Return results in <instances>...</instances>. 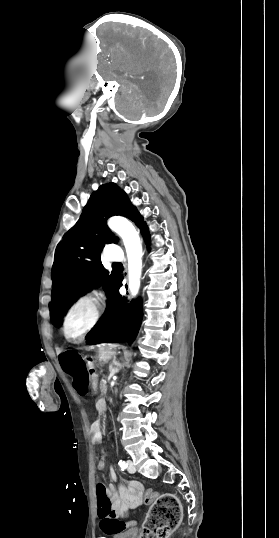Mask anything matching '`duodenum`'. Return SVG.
<instances>
[{
  "label": "duodenum",
  "mask_w": 279,
  "mask_h": 538,
  "mask_svg": "<svg viewBox=\"0 0 279 538\" xmlns=\"http://www.w3.org/2000/svg\"><path fill=\"white\" fill-rule=\"evenodd\" d=\"M90 370H92V372L90 373V376L92 377L91 389L93 391H96L98 389L99 382H98V378L96 377L97 373L95 372V365H90ZM98 400L99 401L97 402L95 409L98 411V414L104 415L106 414V409L103 408V406H105V401H104L105 397L103 395H100L98 397Z\"/></svg>",
  "instance_id": "410a0bca"
}]
</instances>
